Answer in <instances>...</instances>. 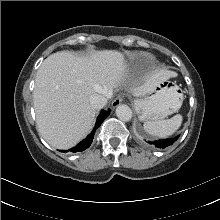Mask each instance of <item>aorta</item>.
<instances>
[{"mask_svg":"<svg viewBox=\"0 0 220 220\" xmlns=\"http://www.w3.org/2000/svg\"><path fill=\"white\" fill-rule=\"evenodd\" d=\"M116 116L121 121H129L132 118V110L129 106L121 104L116 108Z\"/></svg>","mask_w":220,"mask_h":220,"instance_id":"obj_1","label":"aorta"}]
</instances>
